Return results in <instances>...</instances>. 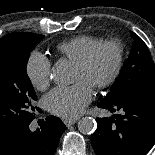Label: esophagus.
Here are the masks:
<instances>
[{"label": "esophagus", "instance_id": "esophagus-1", "mask_svg": "<svg viewBox=\"0 0 155 155\" xmlns=\"http://www.w3.org/2000/svg\"><path fill=\"white\" fill-rule=\"evenodd\" d=\"M76 121H77V119H65L64 124L69 127V126L75 124Z\"/></svg>", "mask_w": 155, "mask_h": 155}]
</instances>
